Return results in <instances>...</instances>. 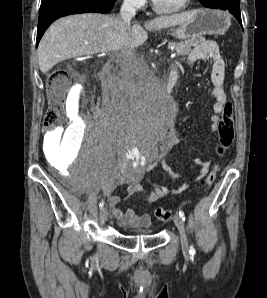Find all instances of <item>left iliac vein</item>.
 Returning a JSON list of instances; mask_svg holds the SVG:
<instances>
[{
  "label": "left iliac vein",
  "instance_id": "obj_1",
  "mask_svg": "<svg viewBox=\"0 0 267 298\" xmlns=\"http://www.w3.org/2000/svg\"><path fill=\"white\" fill-rule=\"evenodd\" d=\"M173 220H174V223H175V225L180 233V236H181L182 250L185 254H188L189 253V245H188V239L186 236L183 220L180 217V215H178V214L174 215Z\"/></svg>",
  "mask_w": 267,
  "mask_h": 298
}]
</instances>
